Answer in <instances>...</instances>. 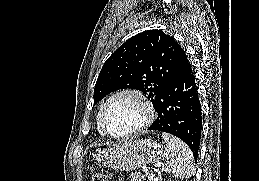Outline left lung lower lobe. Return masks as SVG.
<instances>
[{"mask_svg":"<svg viewBox=\"0 0 259 181\" xmlns=\"http://www.w3.org/2000/svg\"><path fill=\"white\" fill-rule=\"evenodd\" d=\"M178 70L165 86L156 104L158 117L148 128L163 131L182 139L197 159L201 129V105L191 64L179 46Z\"/></svg>","mask_w":259,"mask_h":181,"instance_id":"left-lung-lower-lobe-1","label":"left lung lower lobe"}]
</instances>
